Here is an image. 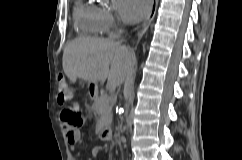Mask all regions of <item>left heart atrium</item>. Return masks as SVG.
I'll return each instance as SVG.
<instances>
[{"label":"left heart atrium","instance_id":"39dd6f15","mask_svg":"<svg viewBox=\"0 0 242 160\" xmlns=\"http://www.w3.org/2000/svg\"><path fill=\"white\" fill-rule=\"evenodd\" d=\"M150 4L151 0H117L116 8L123 21L137 23L147 15Z\"/></svg>","mask_w":242,"mask_h":160}]
</instances>
